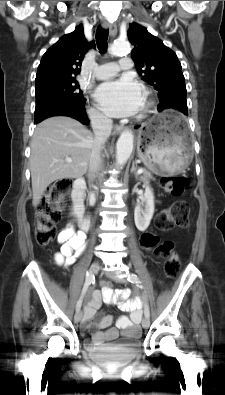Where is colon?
I'll return each mask as SVG.
<instances>
[{
  "label": "colon",
  "mask_w": 225,
  "mask_h": 395,
  "mask_svg": "<svg viewBox=\"0 0 225 395\" xmlns=\"http://www.w3.org/2000/svg\"><path fill=\"white\" fill-rule=\"evenodd\" d=\"M70 179H60L52 183L43 194L36 213L35 237L37 243L45 247L49 245L57 235L56 223L61 217L64 206V198L70 190ZM189 185L186 176L176 175L162 178V189L172 195L181 196ZM189 223V206L183 200L174 202L168 209L163 210L156 219L159 230L167 232L175 227L185 228ZM142 245L146 249H154L156 256L165 260L164 271L167 278H174L180 271L179 256L173 250V244L169 241L160 243L155 234L147 233L142 237ZM101 284L105 288L111 286L109 278H102Z\"/></svg>",
  "instance_id": "colon-1"
}]
</instances>
